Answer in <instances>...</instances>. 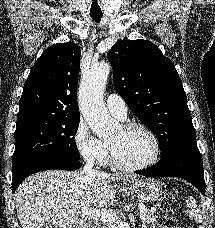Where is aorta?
Wrapping results in <instances>:
<instances>
[{
  "instance_id": "obj_1",
  "label": "aorta",
  "mask_w": 215,
  "mask_h": 228,
  "mask_svg": "<svg viewBox=\"0 0 215 228\" xmlns=\"http://www.w3.org/2000/svg\"><path fill=\"white\" fill-rule=\"evenodd\" d=\"M111 66L100 62L96 68H91L87 78H83L79 90L80 112L91 130L102 138L107 132H112L111 120L101 98V92L108 80Z\"/></svg>"
}]
</instances>
